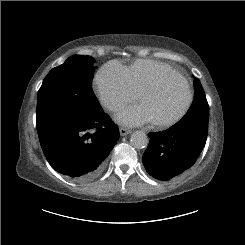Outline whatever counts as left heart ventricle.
<instances>
[{
	"mask_svg": "<svg viewBox=\"0 0 245 245\" xmlns=\"http://www.w3.org/2000/svg\"><path fill=\"white\" fill-rule=\"evenodd\" d=\"M188 90L184 81L177 76L162 80L158 91L144 96L140 103L152 121H163L178 114L186 105Z\"/></svg>",
	"mask_w": 245,
	"mask_h": 245,
	"instance_id": "left-heart-ventricle-1",
	"label": "left heart ventricle"
}]
</instances>
